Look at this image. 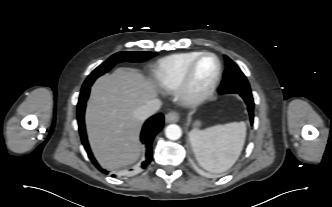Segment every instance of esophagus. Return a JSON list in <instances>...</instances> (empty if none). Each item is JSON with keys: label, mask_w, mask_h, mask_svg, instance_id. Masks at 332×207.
Returning <instances> with one entry per match:
<instances>
[{"label": "esophagus", "mask_w": 332, "mask_h": 207, "mask_svg": "<svg viewBox=\"0 0 332 207\" xmlns=\"http://www.w3.org/2000/svg\"><path fill=\"white\" fill-rule=\"evenodd\" d=\"M165 119L167 123L177 122L179 120V114L175 111H170L166 114Z\"/></svg>", "instance_id": "esophagus-1"}]
</instances>
